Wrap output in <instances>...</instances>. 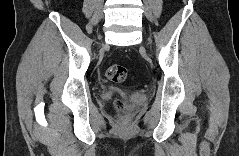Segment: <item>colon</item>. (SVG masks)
Instances as JSON below:
<instances>
[{"label":"colon","mask_w":239,"mask_h":156,"mask_svg":"<svg viewBox=\"0 0 239 156\" xmlns=\"http://www.w3.org/2000/svg\"><path fill=\"white\" fill-rule=\"evenodd\" d=\"M105 77L112 82H124L128 77V72L124 66L112 65L105 70ZM114 105L119 112L126 110V103L122 99H116Z\"/></svg>","instance_id":"colon-1"}]
</instances>
